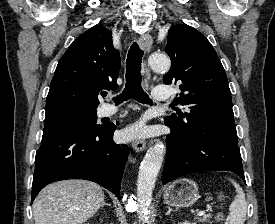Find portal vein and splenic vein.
I'll return each instance as SVG.
<instances>
[{
    "mask_svg": "<svg viewBox=\"0 0 275 224\" xmlns=\"http://www.w3.org/2000/svg\"><path fill=\"white\" fill-rule=\"evenodd\" d=\"M204 214H205L204 211H199V212L197 213V216H202V215H204Z\"/></svg>",
    "mask_w": 275,
    "mask_h": 224,
    "instance_id": "18ae733b",
    "label": "portal vein and splenic vein"
}]
</instances>
